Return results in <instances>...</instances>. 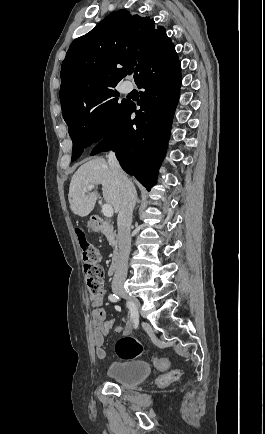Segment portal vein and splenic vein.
<instances>
[{"label":"portal vein and splenic vein","mask_w":265,"mask_h":434,"mask_svg":"<svg viewBox=\"0 0 265 434\" xmlns=\"http://www.w3.org/2000/svg\"><path fill=\"white\" fill-rule=\"evenodd\" d=\"M93 188H95V186H86V188H83V192H88V190H93ZM102 212L106 218H112L114 214V210L110 204H104V206H102Z\"/></svg>","instance_id":"18ae733b"}]
</instances>
